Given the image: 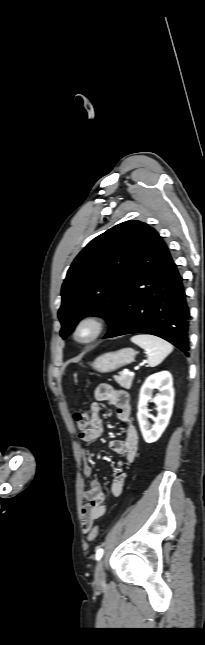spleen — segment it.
<instances>
[{"label":"spleen","instance_id":"1","mask_svg":"<svg viewBox=\"0 0 205 645\" xmlns=\"http://www.w3.org/2000/svg\"><path fill=\"white\" fill-rule=\"evenodd\" d=\"M131 341L146 351L150 367L159 365L173 350L169 342L149 334L135 335Z\"/></svg>","mask_w":205,"mask_h":645}]
</instances>
